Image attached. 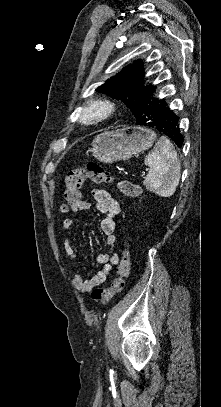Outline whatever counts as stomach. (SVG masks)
<instances>
[{
	"instance_id": "obj_1",
	"label": "stomach",
	"mask_w": 221,
	"mask_h": 407,
	"mask_svg": "<svg viewBox=\"0 0 221 407\" xmlns=\"http://www.w3.org/2000/svg\"><path fill=\"white\" fill-rule=\"evenodd\" d=\"M156 133L150 129L127 126L97 135L90 149L101 162L112 163L127 160L152 147Z\"/></svg>"
}]
</instances>
